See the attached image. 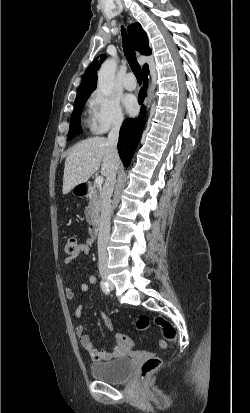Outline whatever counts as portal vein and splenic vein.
Instances as JSON below:
<instances>
[{
	"label": "portal vein and splenic vein",
	"instance_id": "portal-vein-and-splenic-vein-1",
	"mask_svg": "<svg viewBox=\"0 0 250 413\" xmlns=\"http://www.w3.org/2000/svg\"><path fill=\"white\" fill-rule=\"evenodd\" d=\"M103 182H104V178L102 176L96 177V179H95V184L96 185H102Z\"/></svg>",
	"mask_w": 250,
	"mask_h": 413
}]
</instances>
